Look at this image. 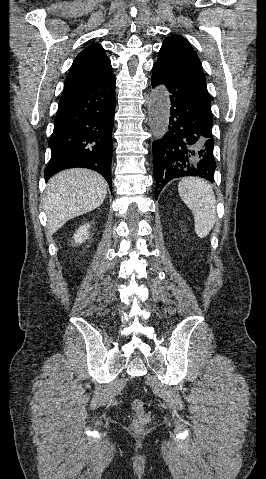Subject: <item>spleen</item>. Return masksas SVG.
<instances>
[{
    "label": "spleen",
    "instance_id": "1",
    "mask_svg": "<svg viewBox=\"0 0 266 479\" xmlns=\"http://www.w3.org/2000/svg\"><path fill=\"white\" fill-rule=\"evenodd\" d=\"M178 192L192 211L197 236L205 238L216 222V199L212 186L203 179L185 177L178 184Z\"/></svg>",
    "mask_w": 266,
    "mask_h": 479
}]
</instances>
